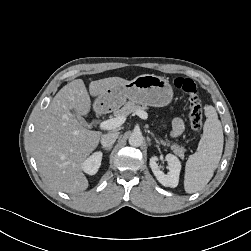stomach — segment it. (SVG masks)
<instances>
[{
    "instance_id": "1",
    "label": "stomach",
    "mask_w": 251,
    "mask_h": 251,
    "mask_svg": "<svg viewBox=\"0 0 251 251\" xmlns=\"http://www.w3.org/2000/svg\"><path fill=\"white\" fill-rule=\"evenodd\" d=\"M127 99L143 106L163 107L171 103L173 89L167 79L154 74H143L107 89L98 96L95 107L100 110L117 109Z\"/></svg>"
}]
</instances>
